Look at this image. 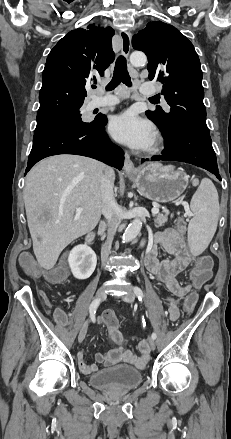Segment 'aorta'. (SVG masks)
<instances>
[{
  "instance_id": "1",
  "label": "aorta",
  "mask_w": 231,
  "mask_h": 439,
  "mask_svg": "<svg viewBox=\"0 0 231 439\" xmlns=\"http://www.w3.org/2000/svg\"><path fill=\"white\" fill-rule=\"evenodd\" d=\"M130 62L135 67L144 66L147 62L146 55L141 51H135L130 55ZM142 228V220L135 218L125 230L122 236V242L126 243L133 240L140 232Z\"/></svg>"
}]
</instances>
